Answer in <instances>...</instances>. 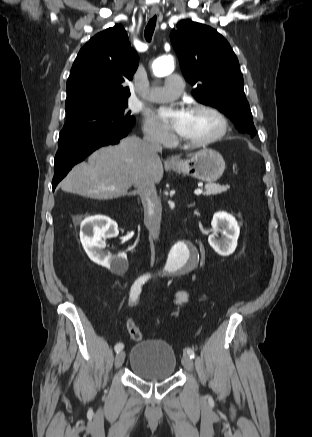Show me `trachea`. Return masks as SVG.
Listing matches in <instances>:
<instances>
[{
  "label": "trachea",
  "mask_w": 312,
  "mask_h": 437,
  "mask_svg": "<svg viewBox=\"0 0 312 437\" xmlns=\"http://www.w3.org/2000/svg\"><path fill=\"white\" fill-rule=\"evenodd\" d=\"M155 26H156V16H154L149 20L145 28V38L147 41H151Z\"/></svg>",
  "instance_id": "1"
}]
</instances>
